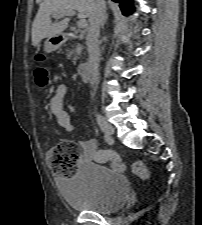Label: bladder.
Here are the masks:
<instances>
[{
  "label": "bladder",
  "instance_id": "31cf9c89",
  "mask_svg": "<svg viewBox=\"0 0 202 225\" xmlns=\"http://www.w3.org/2000/svg\"><path fill=\"white\" fill-rule=\"evenodd\" d=\"M62 195L73 210L112 214L123 208L129 197V181L107 166L87 162L60 182Z\"/></svg>",
  "mask_w": 202,
  "mask_h": 225
}]
</instances>
